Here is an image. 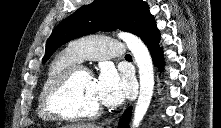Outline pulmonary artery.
<instances>
[{"label":"pulmonary artery","mask_w":221,"mask_h":128,"mask_svg":"<svg viewBox=\"0 0 221 128\" xmlns=\"http://www.w3.org/2000/svg\"><path fill=\"white\" fill-rule=\"evenodd\" d=\"M69 47L83 61L87 59L118 58L126 57L124 43L117 40H109L94 35L80 37L70 42Z\"/></svg>","instance_id":"e3ab8cb5"}]
</instances>
